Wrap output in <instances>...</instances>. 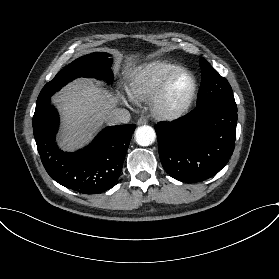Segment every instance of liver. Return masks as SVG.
<instances>
[{"mask_svg":"<svg viewBox=\"0 0 279 279\" xmlns=\"http://www.w3.org/2000/svg\"><path fill=\"white\" fill-rule=\"evenodd\" d=\"M119 63L120 59H117L116 64ZM52 103L61 113L59 146L71 152L89 143L104 123L109 124V114L118 100L101 88L99 82L81 78L56 93Z\"/></svg>","mask_w":279,"mask_h":279,"instance_id":"obj_1","label":"liver"}]
</instances>
